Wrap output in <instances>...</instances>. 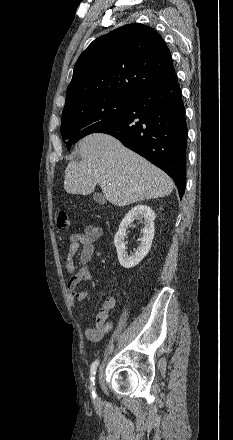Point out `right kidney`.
Instances as JSON below:
<instances>
[{"instance_id": "obj_1", "label": "right kidney", "mask_w": 233, "mask_h": 440, "mask_svg": "<svg viewBox=\"0 0 233 440\" xmlns=\"http://www.w3.org/2000/svg\"><path fill=\"white\" fill-rule=\"evenodd\" d=\"M144 219V227L142 229L143 237L134 254L128 255L125 247L126 230L130 224L135 220ZM154 211L147 205H136L124 217L119 225L118 232L114 237V244L117 249V256L119 263L124 268H132L139 264L142 259L148 254L152 240L154 237Z\"/></svg>"}]
</instances>
